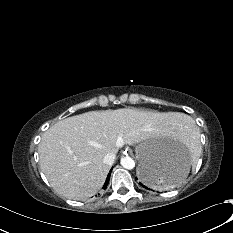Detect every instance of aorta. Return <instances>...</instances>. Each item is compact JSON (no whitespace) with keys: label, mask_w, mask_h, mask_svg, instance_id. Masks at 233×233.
<instances>
[{"label":"aorta","mask_w":233,"mask_h":233,"mask_svg":"<svg viewBox=\"0 0 233 233\" xmlns=\"http://www.w3.org/2000/svg\"><path fill=\"white\" fill-rule=\"evenodd\" d=\"M120 163L123 168L128 169V170H131L135 167L134 160L129 156L122 157L120 160Z\"/></svg>","instance_id":"obj_1"}]
</instances>
